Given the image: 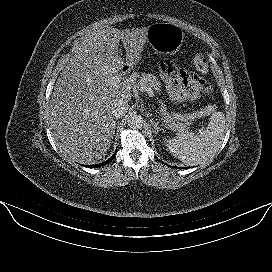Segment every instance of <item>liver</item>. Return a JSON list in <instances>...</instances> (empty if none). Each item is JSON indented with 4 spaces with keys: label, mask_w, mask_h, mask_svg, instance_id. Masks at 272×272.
<instances>
[{
    "label": "liver",
    "mask_w": 272,
    "mask_h": 272,
    "mask_svg": "<svg viewBox=\"0 0 272 272\" xmlns=\"http://www.w3.org/2000/svg\"><path fill=\"white\" fill-rule=\"evenodd\" d=\"M147 33V27L98 29L88 34L71 57L50 101V127L63 154L82 164L106 155L115 129L112 107L120 99L128 103L136 85V75L123 82L120 70L137 65ZM120 41L125 60L118 54ZM114 78H119L116 85Z\"/></svg>",
    "instance_id": "obj_1"
}]
</instances>
